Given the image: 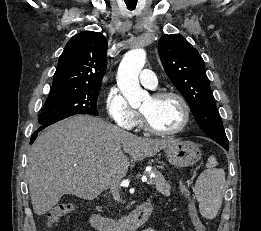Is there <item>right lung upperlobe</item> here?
I'll return each instance as SVG.
<instances>
[{"mask_svg":"<svg viewBox=\"0 0 261 231\" xmlns=\"http://www.w3.org/2000/svg\"><path fill=\"white\" fill-rule=\"evenodd\" d=\"M106 51L107 40L100 32L73 36L59 58L51 89L101 88Z\"/></svg>","mask_w":261,"mask_h":231,"instance_id":"cb5924a9","label":"right lung upper lobe"}]
</instances>
